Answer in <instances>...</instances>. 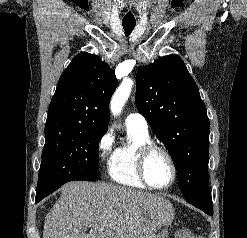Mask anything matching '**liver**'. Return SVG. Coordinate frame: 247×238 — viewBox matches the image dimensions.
Here are the masks:
<instances>
[{
    "label": "liver",
    "instance_id": "1",
    "mask_svg": "<svg viewBox=\"0 0 247 238\" xmlns=\"http://www.w3.org/2000/svg\"><path fill=\"white\" fill-rule=\"evenodd\" d=\"M163 197L105 182L72 181L46 215L43 238H155L171 223ZM90 227L89 233L84 229Z\"/></svg>",
    "mask_w": 247,
    "mask_h": 238
}]
</instances>
